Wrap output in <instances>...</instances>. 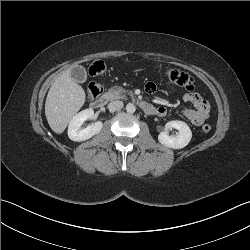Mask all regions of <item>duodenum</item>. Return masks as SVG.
I'll return each mask as SVG.
<instances>
[{
    "instance_id": "duodenum-1",
    "label": "duodenum",
    "mask_w": 250,
    "mask_h": 250,
    "mask_svg": "<svg viewBox=\"0 0 250 250\" xmlns=\"http://www.w3.org/2000/svg\"><path fill=\"white\" fill-rule=\"evenodd\" d=\"M109 100H110V95L104 94L102 96L95 98L92 101L91 105L93 108H102L108 103ZM137 104L148 115H155L157 113V109L153 105L147 102L137 100Z\"/></svg>"
}]
</instances>
